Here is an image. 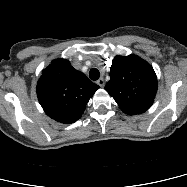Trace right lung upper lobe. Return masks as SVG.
Returning <instances> with one entry per match:
<instances>
[{"label":"right lung upper lobe","mask_w":187,"mask_h":187,"mask_svg":"<svg viewBox=\"0 0 187 187\" xmlns=\"http://www.w3.org/2000/svg\"><path fill=\"white\" fill-rule=\"evenodd\" d=\"M98 88L68 60L59 58L42 71L37 83V96L50 118L71 124L81 117Z\"/></svg>","instance_id":"1"}]
</instances>
